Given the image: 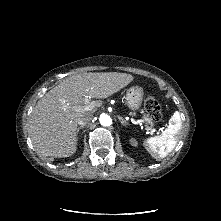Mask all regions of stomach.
<instances>
[{
    "mask_svg": "<svg viewBox=\"0 0 221 221\" xmlns=\"http://www.w3.org/2000/svg\"><path fill=\"white\" fill-rule=\"evenodd\" d=\"M144 92L139 86H133L126 92V104L129 109L136 111L140 108L143 101Z\"/></svg>",
    "mask_w": 221,
    "mask_h": 221,
    "instance_id": "stomach-1",
    "label": "stomach"
}]
</instances>
